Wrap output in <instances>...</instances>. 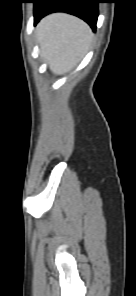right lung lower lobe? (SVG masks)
Returning <instances> with one entry per match:
<instances>
[{
  "instance_id": "98d812e1",
  "label": "right lung lower lobe",
  "mask_w": 136,
  "mask_h": 296,
  "mask_svg": "<svg viewBox=\"0 0 136 296\" xmlns=\"http://www.w3.org/2000/svg\"><path fill=\"white\" fill-rule=\"evenodd\" d=\"M101 0H39L34 6V25L52 12H67L86 21L96 30L98 3Z\"/></svg>"
}]
</instances>
